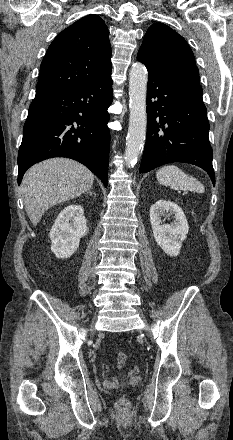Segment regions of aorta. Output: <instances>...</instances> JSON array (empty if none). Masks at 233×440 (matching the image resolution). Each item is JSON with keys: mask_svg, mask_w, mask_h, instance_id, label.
Segmentation results:
<instances>
[{"mask_svg": "<svg viewBox=\"0 0 233 440\" xmlns=\"http://www.w3.org/2000/svg\"><path fill=\"white\" fill-rule=\"evenodd\" d=\"M148 73L142 63L132 65L129 72V127L126 137L125 161L128 166H133L142 149L146 138Z\"/></svg>", "mask_w": 233, "mask_h": 440, "instance_id": "aorta-1", "label": "aorta"}]
</instances>
